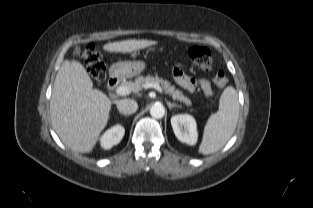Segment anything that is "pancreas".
<instances>
[{"label":"pancreas","mask_w":313,"mask_h":208,"mask_svg":"<svg viewBox=\"0 0 313 208\" xmlns=\"http://www.w3.org/2000/svg\"><path fill=\"white\" fill-rule=\"evenodd\" d=\"M147 83H158L162 85L163 89L165 90V93L169 94L174 100L181 101L185 103L187 106L192 105L191 100L187 97H185L181 91L174 88V86H171L170 83L167 80H163L162 78H159L158 76H139L135 79L134 82H124L122 83L123 86H127L130 88L133 92H138L142 88H145V85Z\"/></svg>","instance_id":"1"}]
</instances>
